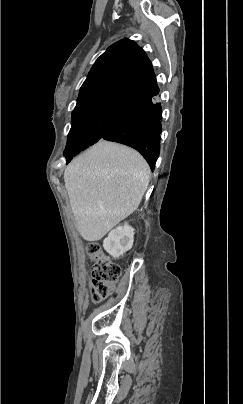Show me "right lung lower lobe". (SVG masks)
Listing matches in <instances>:
<instances>
[{"mask_svg": "<svg viewBox=\"0 0 243 404\" xmlns=\"http://www.w3.org/2000/svg\"><path fill=\"white\" fill-rule=\"evenodd\" d=\"M154 92L129 101L112 120L101 140L130 146L146 159L151 170L160 153L162 110Z\"/></svg>", "mask_w": 243, "mask_h": 404, "instance_id": "1", "label": "right lung lower lobe"}]
</instances>
